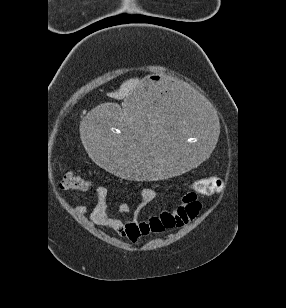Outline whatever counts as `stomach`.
I'll list each match as a JSON object with an SVG mask.
<instances>
[{"label": "stomach", "instance_id": "1", "mask_svg": "<svg viewBox=\"0 0 286 308\" xmlns=\"http://www.w3.org/2000/svg\"><path fill=\"white\" fill-rule=\"evenodd\" d=\"M181 86L150 75L129 93L124 113L116 103L86 109L81 129L90 161L127 182H166L201 168L211 159L220 125L211 100H197L191 91H178Z\"/></svg>", "mask_w": 286, "mask_h": 308}]
</instances>
